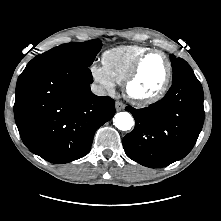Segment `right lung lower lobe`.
Wrapping results in <instances>:
<instances>
[{
    "mask_svg": "<svg viewBox=\"0 0 221 221\" xmlns=\"http://www.w3.org/2000/svg\"><path fill=\"white\" fill-rule=\"evenodd\" d=\"M89 67L29 62L16 85L14 115L21 139L51 163L87 155L96 130L115 114L114 100L90 90Z\"/></svg>",
    "mask_w": 221,
    "mask_h": 221,
    "instance_id": "right-lung-lower-lobe-1",
    "label": "right lung lower lobe"
}]
</instances>
